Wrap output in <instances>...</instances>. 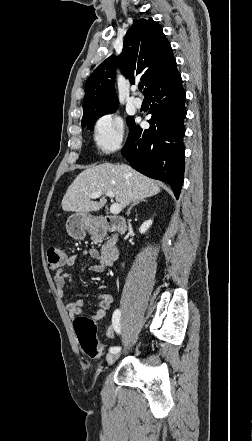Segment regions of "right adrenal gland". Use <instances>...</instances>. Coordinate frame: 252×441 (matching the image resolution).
I'll return each instance as SVG.
<instances>
[{
    "mask_svg": "<svg viewBox=\"0 0 252 441\" xmlns=\"http://www.w3.org/2000/svg\"><path fill=\"white\" fill-rule=\"evenodd\" d=\"M142 201H145V200H142ZM138 203H139V201H136V202H133V203L131 204V206L129 207V209H128V211H127V215L130 214L132 208L135 207Z\"/></svg>",
    "mask_w": 252,
    "mask_h": 441,
    "instance_id": "right-adrenal-gland-1",
    "label": "right adrenal gland"
}]
</instances>
